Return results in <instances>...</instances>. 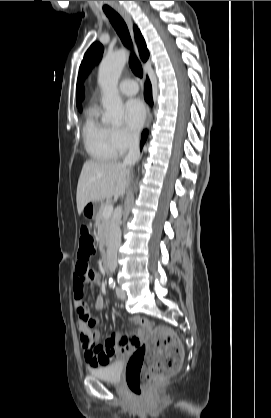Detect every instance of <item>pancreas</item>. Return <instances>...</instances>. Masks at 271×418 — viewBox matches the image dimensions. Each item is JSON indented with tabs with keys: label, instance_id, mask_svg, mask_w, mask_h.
<instances>
[{
	"label": "pancreas",
	"instance_id": "cf45deb5",
	"mask_svg": "<svg viewBox=\"0 0 271 418\" xmlns=\"http://www.w3.org/2000/svg\"><path fill=\"white\" fill-rule=\"evenodd\" d=\"M107 205V203L101 204L96 217H95V225L98 231V239L100 247H104V245L108 242L109 234H110V228L112 224L111 218H105L103 216V209Z\"/></svg>",
	"mask_w": 271,
	"mask_h": 418
}]
</instances>
